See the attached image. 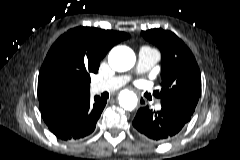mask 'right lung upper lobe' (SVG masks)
Wrapping results in <instances>:
<instances>
[{"instance_id": "1", "label": "right lung upper lobe", "mask_w": 240, "mask_h": 160, "mask_svg": "<svg viewBox=\"0 0 240 160\" xmlns=\"http://www.w3.org/2000/svg\"><path fill=\"white\" fill-rule=\"evenodd\" d=\"M125 32L76 27L51 46L38 77L40 110L89 94L90 74L97 73L108 50L129 38Z\"/></svg>"}]
</instances>
